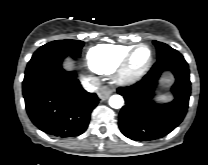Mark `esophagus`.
Here are the masks:
<instances>
[{
    "label": "esophagus",
    "instance_id": "1",
    "mask_svg": "<svg viewBox=\"0 0 208 165\" xmlns=\"http://www.w3.org/2000/svg\"><path fill=\"white\" fill-rule=\"evenodd\" d=\"M111 94L112 90L108 86H102L98 92V95L102 100L108 99Z\"/></svg>",
    "mask_w": 208,
    "mask_h": 165
}]
</instances>
